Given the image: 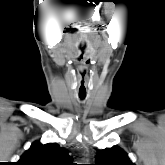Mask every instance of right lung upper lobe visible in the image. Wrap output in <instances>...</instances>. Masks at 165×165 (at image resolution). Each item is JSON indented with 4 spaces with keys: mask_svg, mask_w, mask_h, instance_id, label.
I'll return each instance as SVG.
<instances>
[{
    "mask_svg": "<svg viewBox=\"0 0 165 165\" xmlns=\"http://www.w3.org/2000/svg\"><path fill=\"white\" fill-rule=\"evenodd\" d=\"M18 165H76L68 152L56 143L34 142L21 156Z\"/></svg>",
    "mask_w": 165,
    "mask_h": 165,
    "instance_id": "right-lung-upper-lobe-1",
    "label": "right lung upper lobe"
}]
</instances>
